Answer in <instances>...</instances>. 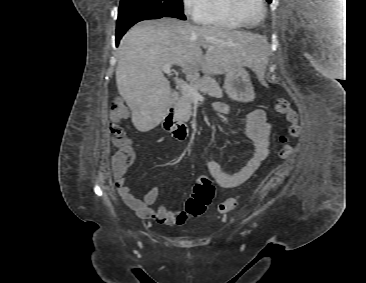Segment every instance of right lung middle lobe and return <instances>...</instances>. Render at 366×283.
I'll use <instances>...</instances> for the list:
<instances>
[{
	"mask_svg": "<svg viewBox=\"0 0 366 283\" xmlns=\"http://www.w3.org/2000/svg\"><path fill=\"white\" fill-rule=\"evenodd\" d=\"M140 15H158L186 20L182 0H121L118 20Z\"/></svg>",
	"mask_w": 366,
	"mask_h": 283,
	"instance_id": "1",
	"label": "right lung middle lobe"
}]
</instances>
